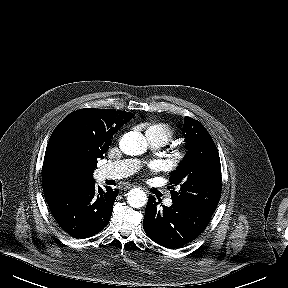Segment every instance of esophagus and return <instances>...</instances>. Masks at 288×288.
I'll return each instance as SVG.
<instances>
[{
  "instance_id": "esophagus-1",
  "label": "esophagus",
  "mask_w": 288,
  "mask_h": 288,
  "mask_svg": "<svg viewBox=\"0 0 288 288\" xmlns=\"http://www.w3.org/2000/svg\"><path fill=\"white\" fill-rule=\"evenodd\" d=\"M132 187H134V186H128L127 189H131Z\"/></svg>"
}]
</instances>
